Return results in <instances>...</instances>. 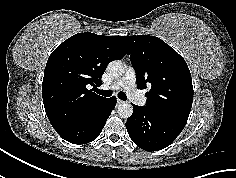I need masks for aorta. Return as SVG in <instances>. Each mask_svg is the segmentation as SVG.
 <instances>
[{"label":"aorta","instance_id":"1","mask_svg":"<svg viewBox=\"0 0 236 178\" xmlns=\"http://www.w3.org/2000/svg\"><path fill=\"white\" fill-rule=\"evenodd\" d=\"M108 72L114 76L119 77L124 73V66L120 60H114L107 66ZM118 115L122 118H129L133 114V106L129 102H122L117 106Z\"/></svg>","mask_w":236,"mask_h":178}]
</instances>
